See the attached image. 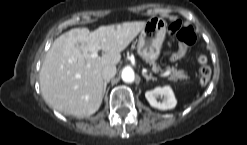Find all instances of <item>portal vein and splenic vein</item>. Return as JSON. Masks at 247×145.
<instances>
[{
  "label": "portal vein and splenic vein",
  "instance_id": "obj_1",
  "mask_svg": "<svg viewBox=\"0 0 247 145\" xmlns=\"http://www.w3.org/2000/svg\"><path fill=\"white\" fill-rule=\"evenodd\" d=\"M98 57V50H96V51H94V52H92L91 54H90V58H97ZM160 76H165V74H160Z\"/></svg>",
  "mask_w": 247,
  "mask_h": 145
}]
</instances>
